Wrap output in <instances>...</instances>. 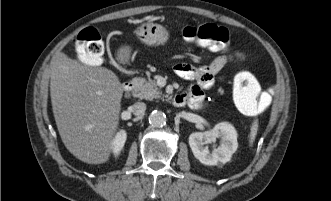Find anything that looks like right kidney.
<instances>
[{
    "mask_svg": "<svg viewBox=\"0 0 331 201\" xmlns=\"http://www.w3.org/2000/svg\"><path fill=\"white\" fill-rule=\"evenodd\" d=\"M126 141V132L124 130H121L117 133L115 136L113 143H112V150L115 155H118L123 148Z\"/></svg>",
    "mask_w": 331,
    "mask_h": 201,
    "instance_id": "ca27d5eb",
    "label": "right kidney"
}]
</instances>
